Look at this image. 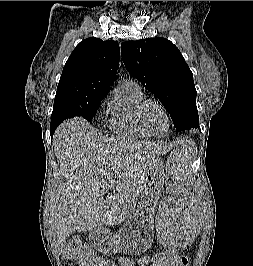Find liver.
<instances>
[{"instance_id": "6515ba94", "label": "liver", "mask_w": 253, "mask_h": 266, "mask_svg": "<svg viewBox=\"0 0 253 266\" xmlns=\"http://www.w3.org/2000/svg\"><path fill=\"white\" fill-rule=\"evenodd\" d=\"M53 144L59 162L51 206L58 253L76 231L105 230L131 217L148 169L171 149L164 142L100 137L82 118L59 125Z\"/></svg>"}]
</instances>
